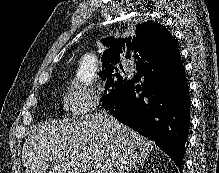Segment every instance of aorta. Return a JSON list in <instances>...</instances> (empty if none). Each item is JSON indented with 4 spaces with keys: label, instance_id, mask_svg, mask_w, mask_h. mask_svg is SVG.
Returning <instances> with one entry per match:
<instances>
[{
    "label": "aorta",
    "instance_id": "762f6f07",
    "mask_svg": "<svg viewBox=\"0 0 219 173\" xmlns=\"http://www.w3.org/2000/svg\"><path fill=\"white\" fill-rule=\"evenodd\" d=\"M97 67V61L96 57L94 55H85L84 58L81 61V67L79 71L80 79L86 83L89 84L96 72Z\"/></svg>",
    "mask_w": 219,
    "mask_h": 173
}]
</instances>
